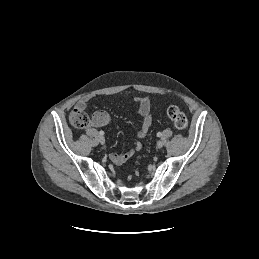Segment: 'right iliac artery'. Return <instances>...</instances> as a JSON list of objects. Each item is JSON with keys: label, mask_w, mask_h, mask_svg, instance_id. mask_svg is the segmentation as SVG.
Instances as JSON below:
<instances>
[{"label": "right iliac artery", "mask_w": 259, "mask_h": 259, "mask_svg": "<svg viewBox=\"0 0 259 259\" xmlns=\"http://www.w3.org/2000/svg\"><path fill=\"white\" fill-rule=\"evenodd\" d=\"M99 134H100L101 136H103V135H104V131L101 130V131L99 132Z\"/></svg>", "instance_id": "1"}]
</instances>
